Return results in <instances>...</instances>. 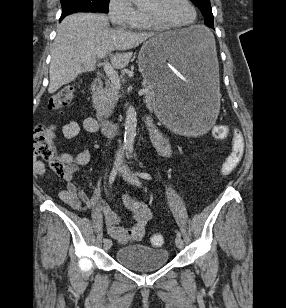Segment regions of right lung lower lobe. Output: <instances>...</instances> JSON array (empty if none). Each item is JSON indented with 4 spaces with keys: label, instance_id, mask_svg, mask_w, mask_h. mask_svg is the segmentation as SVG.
Returning a JSON list of instances; mask_svg holds the SVG:
<instances>
[{
    "label": "right lung lower lobe",
    "instance_id": "1",
    "mask_svg": "<svg viewBox=\"0 0 286 308\" xmlns=\"http://www.w3.org/2000/svg\"><path fill=\"white\" fill-rule=\"evenodd\" d=\"M65 16H61L60 20H62Z\"/></svg>",
    "mask_w": 286,
    "mask_h": 308
}]
</instances>
